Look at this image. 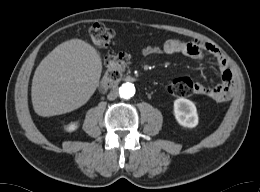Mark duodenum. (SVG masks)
<instances>
[{
    "instance_id": "1",
    "label": "duodenum",
    "mask_w": 260,
    "mask_h": 192,
    "mask_svg": "<svg viewBox=\"0 0 260 192\" xmlns=\"http://www.w3.org/2000/svg\"><path fill=\"white\" fill-rule=\"evenodd\" d=\"M124 80L127 82H132L134 80V78L132 76H125Z\"/></svg>"
}]
</instances>
